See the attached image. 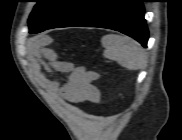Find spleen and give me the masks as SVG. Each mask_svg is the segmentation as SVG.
<instances>
[{
  "mask_svg": "<svg viewBox=\"0 0 182 140\" xmlns=\"http://www.w3.org/2000/svg\"><path fill=\"white\" fill-rule=\"evenodd\" d=\"M105 48L104 56L117 61L119 65L129 70L142 69L147 63V56L141 45L134 39L116 34L102 37Z\"/></svg>",
  "mask_w": 182,
  "mask_h": 140,
  "instance_id": "obj_1",
  "label": "spleen"
}]
</instances>
